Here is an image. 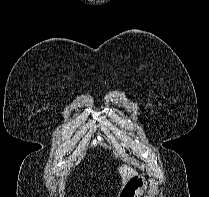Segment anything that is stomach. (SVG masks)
<instances>
[{
	"label": "stomach",
	"mask_w": 209,
	"mask_h": 197,
	"mask_svg": "<svg viewBox=\"0 0 209 197\" xmlns=\"http://www.w3.org/2000/svg\"><path fill=\"white\" fill-rule=\"evenodd\" d=\"M147 181L141 175H134L121 188L118 197H144Z\"/></svg>",
	"instance_id": "0dacf381"
}]
</instances>
